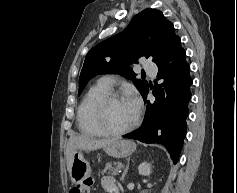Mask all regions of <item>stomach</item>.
<instances>
[{
    "label": "stomach",
    "instance_id": "1",
    "mask_svg": "<svg viewBox=\"0 0 237 193\" xmlns=\"http://www.w3.org/2000/svg\"><path fill=\"white\" fill-rule=\"evenodd\" d=\"M135 149L136 145L134 142L123 139H117L104 147V151L114 158L128 157ZM70 176L75 184L81 183L91 176L90 164L80 150H76L73 154Z\"/></svg>",
    "mask_w": 237,
    "mask_h": 193
}]
</instances>
